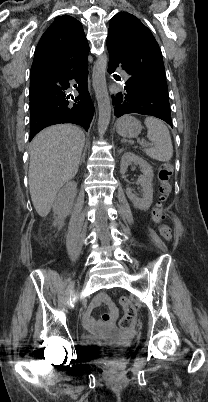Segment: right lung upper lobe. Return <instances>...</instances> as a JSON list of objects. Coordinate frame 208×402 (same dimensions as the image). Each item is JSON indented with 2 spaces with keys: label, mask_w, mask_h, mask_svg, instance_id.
I'll list each match as a JSON object with an SVG mask.
<instances>
[{
  "label": "right lung upper lobe",
  "mask_w": 208,
  "mask_h": 402,
  "mask_svg": "<svg viewBox=\"0 0 208 402\" xmlns=\"http://www.w3.org/2000/svg\"><path fill=\"white\" fill-rule=\"evenodd\" d=\"M88 47L82 24L71 16H59L42 35L31 71L66 66Z\"/></svg>",
  "instance_id": "cb5924a9"
}]
</instances>
